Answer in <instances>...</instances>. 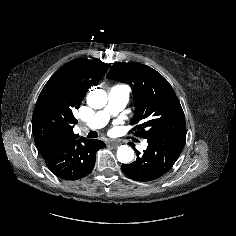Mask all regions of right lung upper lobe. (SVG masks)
<instances>
[{"mask_svg":"<svg viewBox=\"0 0 236 236\" xmlns=\"http://www.w3.org/2000/svg\"><path fill=\"white\" fill-rule=\"evenodd\" d=\"M109 67L110 64L104 62L77 58L53 74L42 89L32 116L36 146L78 139L73 133V124L77 122L73 111Z\"/></svg>","mask_w":236,"mask_h":236,"instance_id":"1","label":"right lung upper lobe"}]
</instances>
